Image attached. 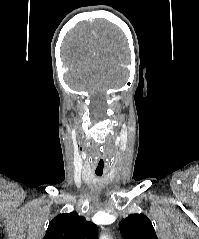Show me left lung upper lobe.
<instances>
[{"instance_id": "obj_1", "label": "left lung upper lobe", "mask_w": 199, "mask_h": 239, "mask_svg": "<svg viewBox=\"0 0 199 239\" xmlns=\"http://www.w3.org/2000/svg\"><path fill=\"white\" fill-rule=\"evenodd\" d=\"M124 239H158L150 220L143 214H131L119 223Z\"/></svg>"}]
</instances>
